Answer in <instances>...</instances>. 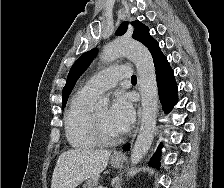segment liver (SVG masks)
<instances>
[{
  "mask_svg": "<svg viewBox=\"0 0 224 188\" xmlns=\"http://www.w3.org/2000/svg\"><path fill=\"white\" fill-rule=\"evenodd\" d=\"M111 151L70 149L63 152L53 171L51 188H76L99 175L107 166Z\"/></svg>",
  "mask_w": 224,
  "mask_h": 188,
  "instance_id": "obj_1",
  "label": "liver"
}]
</instances>
